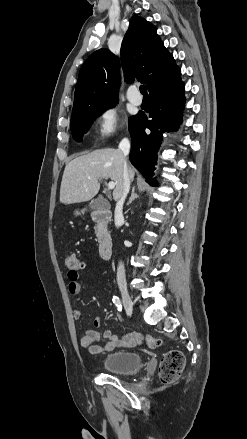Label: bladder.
I'll use <instances>...</instances> for the list:
<instances>
[{"label": "bladder", "mask_w": 247, "mask_h": 439, "mask_svg": "<svg viewBox=\"0 0 247 439\" xmlns=\"http://www.w3.org/2000/svg\"><path fill=\"white\" fill-rule=\"evenodd\" d=\"M142 356L135 351H118L107 355L103 360V368L107 372L119 375L137 373L142 367Z\"/></svg>", "instance_id": "1"}]
</instances>
